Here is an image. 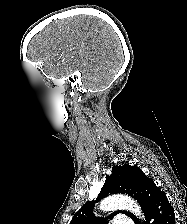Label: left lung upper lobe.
I'll use <instances>...</instances> for the list:
<instances>
[{
	"label": "left lung upper lobe",
	"mask_w": 187,
	"mask_h": 224,
	"mask_svg": "<svg viewBox=\"0 0 187 224\" xmlns=\"http://www.w3.org/2000/svg\"><path fill=\"white\" fill-rule=\"evenodd\" d=\"M158 189L153 180L148 178L140 168L128 164L115 166L113 167L111 176H106V181L95 202L110 194H128L137 200L145 215ZM93 208L94 201L84 204L75 213L70 224H106V219L96 218L93 214ZM117 213H124L135 222L138 221L132 213L127 211H116L110 217H113Z\"/></svg>",
	"instance_id": "obj_1"
}]
</instances>
